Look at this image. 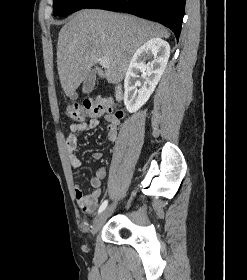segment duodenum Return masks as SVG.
I'll return each mask as SVG.
<instances>
[{
    "label": "duodenum",
    "mask_w": 247,
    "mask_h": 280,
    "mask_svg": "<svg viewBox=\"0 0 247 280\" xmlns=\"http://www.w3.org/2000/svg\"><path fill=\"white\" fill-rule=\"evenodd\" d=\"M116 96H117L118 99H121V90H120L119 87L117 88Z\"/></svg>",
    "instance_id": "obj_1"
}]
</instances>
